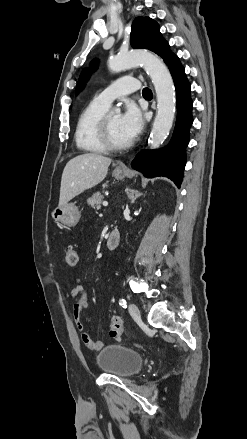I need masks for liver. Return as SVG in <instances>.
Segmentation results:
<instances>
[{
  "instance_id": "6515ba94",
  "label": "liver",
  "mask_w": 247,
  "mask_h": 439,
  "mask_svg": "<svg viewBox=\"0 0 247 439\" xmlns=\"http://www.w3.org/2000/svg\"><path fill=\"white\" fill-rule=\"evenodd\" d=\"M111 161L110 158L96 153L72 158L62 173L59 206L67 204L77 195L102 182Z\"/></svg>"
}]
</instances>
